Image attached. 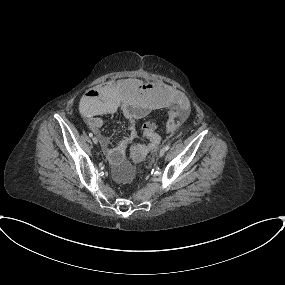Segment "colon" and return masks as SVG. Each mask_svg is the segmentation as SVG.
I'll use <instances>...</instances> for the list:
<instances>
[{
    "label": "colon",
    "mask_w": 285,
    "mask_h": 285,
    "mask_svg": "<svg viewBox=\"0 0 285 285\" xmlns=\"http://www.w3.org/2000/svg\"><path fill=\"white\" fill-rule=\"evenodd\" d=\"M180 121L175 117H170L166 124L167 130H174L179 127ZM142 138L147 141V145L136 144L132 147L131 158L135 163H141L149 151L157 146L161 140L157 131V126L152 120H146L142 125Z\"/></svg>",
    "instance_id": "obj_1"
}]
</instances>
